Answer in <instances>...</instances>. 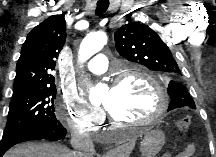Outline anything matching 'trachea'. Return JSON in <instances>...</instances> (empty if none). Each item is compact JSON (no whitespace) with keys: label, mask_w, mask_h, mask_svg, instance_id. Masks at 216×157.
I'll return each mask as SVG.
<instances>
[{"label":"trachea","mask_w":216,"mask_h":157,"mask_svg":"<svg viewBox=\"0 0 216 157\" xmlns=\"http://www.w3.org/2000/svg\"><path fill=\"white\" fill-rule=\"evenodd\" d=\"M109 7V1L107 0H99L97 2L96 15L103 14Z\"/></svg>","instance_id":"trachea-1"}]
</instances>
